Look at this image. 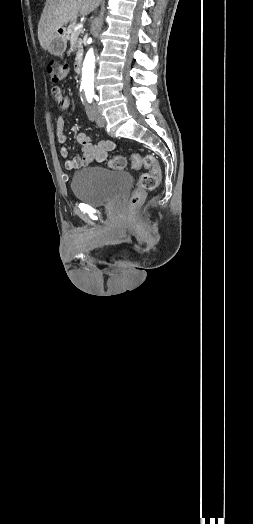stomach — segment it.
Returning a JSON list of instances; mask_svg holds the SVG:
<instances>
[{"label": "stomach", "instance_id": "1", "mask_svg": "<svg viewBox=\"0 0 253 524\" xmlns=\"http://www.w3.org/2000/svg\"><path fill=\"white\" fill-rule=\"evenodd\" d=\"M67 47L65 30L60 28L53 35L48 46V52L54 56H62Z\"/></svg>", "mask_w": 253, "mask_h": 524}]
</instances>
